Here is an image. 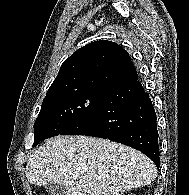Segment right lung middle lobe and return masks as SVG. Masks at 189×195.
Wrapping results in <instances>:
<instances>
[{
	"mask_svg": "<svg viewBox=\"0 0 189 195\" xmlns=\"http://www.w3.org/2000/svg\"><path fill=\"white\" fill-rule=\"evenodd\" d=\"M110 92L79 88L47 94L34 124V144L80 122Z\"/></svg>",
	"mask_w": 189,
	"mask_h": 195,
	"instance_id": "obj_1",
	"label": "right lung middle lobe"
}]
</instances>
